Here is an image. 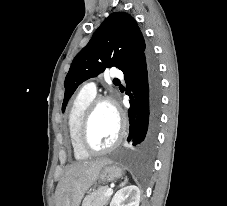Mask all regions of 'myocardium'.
Masks as SVG:
<instances>
[{"label":"myocardium","mask_w":227,"mask_h":206,"mask_svg":"<svg viewBox=\"0 0 227 206\" xmlns=\"http://www.w3.org/2000/svg\"><path fill=\"white\" fill-rule=\"evenodd\" d=\"M101 104H109L114 108L119 121V130L116 139L111 145L103 149H96L90 144L88 135L93 114L97 107ZM124 134H125V119L116 102L109 96L94 97L93 100L88 104V106L84 110L79 123L77 140L80 148L87 154L92 155L104 154L115 149L121 143Z\"/></svg>","instance_id":"1"}]
</instances>
